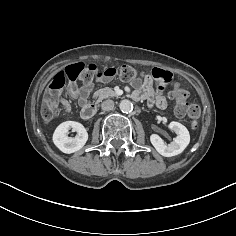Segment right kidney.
Here are the masks:
<instances>
[{
	"mask_svg": "<svg viewBox=\"0 0 236 236\" xmlns=\"http://www.w3.org/2000/svg\"><path fill=\"white\" fill-rule=\"evenodd\" d=\"M69 130L77 132L75 138L68 137ZM88 140V134L82 124L75 121H65L54 131L53 142L63 153H74L80 150Z\"/></svg>",
	"mask_w": 236,
	"mask_h": 236,
	"instance_id": "ca27d5eb",
	"label": "right kidney"
}]
</instances>
